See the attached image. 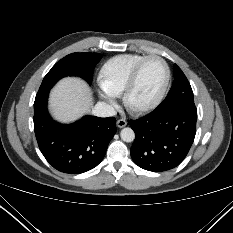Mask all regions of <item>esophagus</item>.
<instances>
[{
	"mask_svg": "<svg viewBox=\"0 0 233 233\" xmlns=\"http://www.w3.org/2000/svg\"><path fill=\"white\" fill-rule=\"evenodd\" d=\"M116 124L119 128H123L127 125V121L125 119H119Z\"/></svg>",
	"mask_w": 233,
	"mask_h": 233,
	"instance_id": "1",
	"label": "esophagus"
}]
</instances>
